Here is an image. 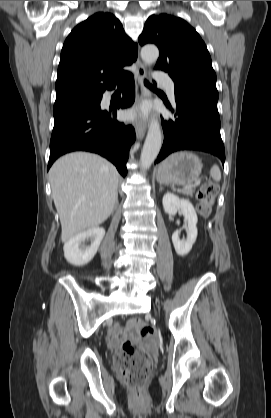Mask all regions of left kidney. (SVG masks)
Masks as SVG:
<instances>
[{
	"label": "left kidney",
	"mask_w": 271,
	"mask_h": 418,
	"mask_svg": "<svg viewBox=\"0 0 271 418\" xmlns=\"http://www.w3.org/2000/svg\"><path fill=\"white\" fill-rule=\"evenodd\" d=\"M162 203L165 212L169 215H175L177 211L180 210L185 217L187 238L185 240H180L178 231L174 232L172 235V242L176 253L179 256H185L190 252L197 238L198 231L196 225L198 218L196 211L189 200L180 199L177 195L169 192L163 196Z\"/></svg>",
	"instance_id": "left-kidney-1"
}]
</instances>
